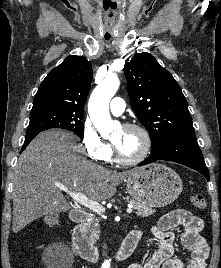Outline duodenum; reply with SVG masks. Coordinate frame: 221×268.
Here are the masks:
<instances>
[{
	"label": "duodenum",
	"mask_w": 221,
	"mask_h": 268,
	"mask_svg": "<svg viewBox=\"0 0 221 268\" xmlns=\"http://www.w3.org/2000/svg\"><path fill=\"white\" fill-rule=\"evenodd\" d=\"M71 219L75 223L72 231V242L76 252L81 258L96 262L100 258V250L87 238L85 234V224L88 219L87 212L83 210H75L71 213ZM140 239V234L137 230L130 231L121 245L114 253L116 261H123L127 259L135 250Z\"/></svg>",
	"instance_id": "1"
}]
</instances>
